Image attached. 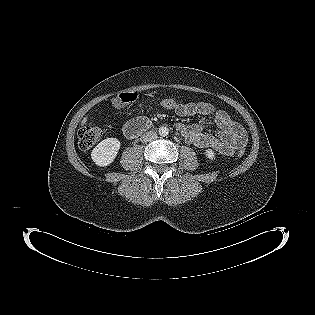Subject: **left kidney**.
Masks as SVG:
<instances>
[{
	"instance_id": "5707ae66",
	"label": "left kidney",
	"mask_w": 315,
	"mask_h": 315,
	"mask_svg": "<svg viewBox=\"0 0 315 315\" xmlns=\"http://www.w3.org/2000/svg\"><path fill=\"white\" fill-rule=\"evenodd\" d=\"M205 156H206L209 160L213 161V160L215 159V152H214L213 150H211V149H207V150L205 151Z\"/></svg>"
}]
</instances>
